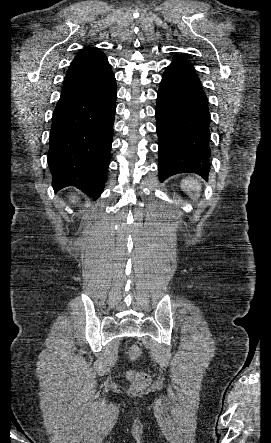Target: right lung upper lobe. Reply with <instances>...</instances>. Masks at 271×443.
I'll return each mask as SVG.
<instances>
[{"label": "right lung upper lobe", "instance_id": "cb5924a9", "mask_svg": "<svg viewBox=\"0 0 271 443\" xmlns=\"http://www.w3.org/2000/svg\"><path fill=\"white\" fill-rule=\"evenodd\" d=\"M114 78L105 54L97 48L85 47L71 62L62 91L89 87Z\"/></svg>", "mask_w": 271, "mask_h": 443}]
</instances>
